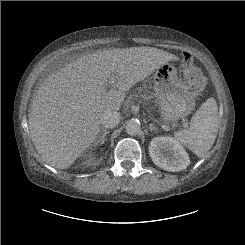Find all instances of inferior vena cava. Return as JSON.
Here are the masks:
<instances>
[{"label":"inferior vena cava","instance_id":"1","mask_svg":"<svg viewBox=\"0 0 245 245\" xmlns=\"http://www.w3.org/2000/svg\"><path fill=\"white\" fill-rule=\"evenodd\" d=\"M120 122V113L116 110H106L100 116V123L105 128H113Z\"/></svg>","mask_w":245,"mask_h":245}]
</instances>
